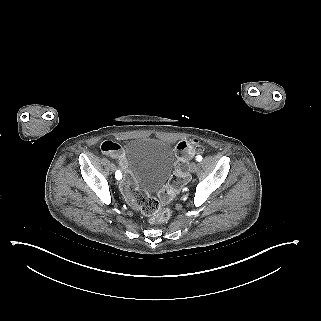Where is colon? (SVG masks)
I'll return each mask as SVG.
<instances>
[{"label":"colon","mask_w":321,"mask_h":321,"mask_svg":"<svg viewBox=\"0 0 321 321\" xmlns=\"http://www.w3.org/2000/svg\"><path fill=\"white\" fill-rule=\"evenodd\" d=\"M101 150L113 157L119 168L123 172V179L120 181V189L127 202L134 208L144 214L151 224L162 223L167 221L171 216V211L161 205L158 199L141 191L134 183L129 174L124 158L122 147L111 140H106L101 145ZM202 151L199 141L192 139L181 141L176 145V163L174 174L168 182V185L160 191V199L167 203L171 201L179 189L187 180L189 163L191 158L198 152Z\"/></svg>","instance_id":"5ec220e1"}]
</instances>
